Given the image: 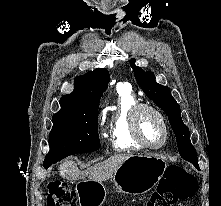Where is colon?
Masks as SVG:
<instances>
[{
    "label": "colon",
    "instance_id": "5ec220e1",
    "mask_svg": "<svg viewBox=\"0 0 221 206\" xmlns=\"http://www.w3.org/2000/svg\"><path fill=\"white\" fill-rule=\"evenodd\" d=\"M195 177L180 166L166 171L165 181L152 193L145 206H173L191 197L196 191ZM47 206H77L76 193L62 180L54 181L48 189Z\"/></svg>",
    "mask_w": 221,
    "mask_h": 206
}]
</instances>
